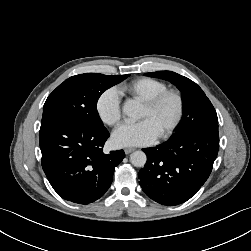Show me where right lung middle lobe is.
Instances as JSON below:
<instances>
[{
	"instance_id": "1",
	"label": "right lung middle lobe",
	"mask_w": 251,
	"mask_h": 251,
	"mask_svg": "<svg viewBox=\"0 0 251 251\" xmlns=\"http://www.w3.org/2000/svg\"><path fill=\"white\" fill-rule=\"evenodd\" d=\"M98 73L75 75L60 84L47 98L41 123L70 119L94 127H103L96 105L101 94L126 79Z\"/></svg>"
}]
</instances>
